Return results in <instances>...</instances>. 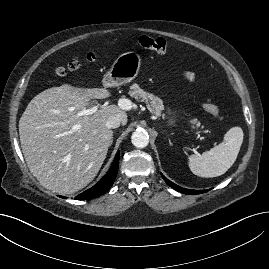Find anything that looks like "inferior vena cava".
Instances as JSON below:
<instances>
[{
	"label": "inferior vena cava",
	"mask_w": 269,
	"mask_h": 269,
	"mask_svg": "<svg viewBox=\"0 0 269 269\" xmlns=\"http://www.w3.org/2000/svg\"><path fill=\"white\" fill-rule=\"evenodd\" d=\"M121 124V120L120 118L118 117H111L107 123H106V126L109 128V129H112V128H118Z\"/></svg>",
	"instance_id": "inferior-vena-cava-1"
}]
</instances>
